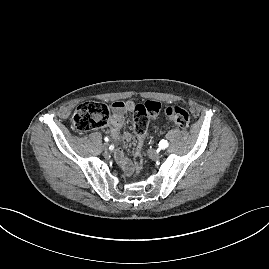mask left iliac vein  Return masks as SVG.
<instances>
[{
    "instance_id": "4c4485c4",
    "label": "left iliac vein",
    "mask_w": 269,
    "mask_h": 269,
    "mask_svg": "<svg viewBox=\"0 0 269 269\" xmlns=\"http://www.w3.org/2000/svg\"><path fill=\"white\" fill-rule=\"evenodd\" d=\"M144 154L151 159H156L158 157V152L154 150L152 147H146L144 149Z\"/></svg>"
}]
</instances>
